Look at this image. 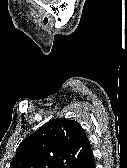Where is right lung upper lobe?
<instances>
[{"label": "right lung upper lobe", "instance_id": "1", "mask_svg": "<svg viewBox=\"0 0 127 168\" xmlns=\"http://www.w3.org/2000/svg\"><path fill=\"white\" fill-rule=\"evenodd\" d=\"M91 157L90 142L80 124L56 118L20 143L10 168H74Z\"/></svg>", "mask_w": 127, "mask_h": 168}]
</instances>
